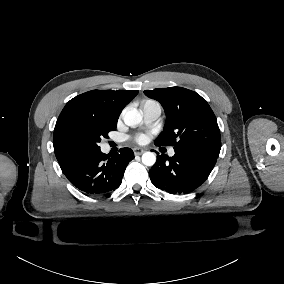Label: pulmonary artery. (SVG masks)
Returning a JSON list of instances; mask_svg holds the SVG:
<instances>
[{
  "label": "pulmonary artery",
  "mask_w": 284,
  "mask_h": 284,
  "mask_svg": "<svg viewBox=\"0 0 284 284\" xmlns=\"http://www.w3.org/2000/svg\"><path fill=\"white\" fill-rule=\"evenodd\" d=\"M142 122L147 126L154 125L162 112L161 104L158 101L147 100L141 104ZM170 155L174 154V150L170 149Z\"/></svg>",
  "instance_id": "pulmonary-artery-1"
}]
</instances>
